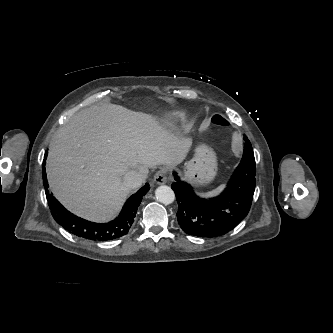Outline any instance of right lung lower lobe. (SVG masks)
I'll use <instances>...</instances> for the list:
<instances>
[{"label":"right lung lower lobe","mask_w":333,"mask_h":333,"mask_svg":"<svg viewBox=\"0 0 333 333\" xmlns=\"http://www.w3.org/2000/svg\"><path fill=\"white\" fill-rule=\"evenodd\" d=\"M47 152L44 158L46 159ZM43 184L46 189V197L52 216L68 232L82 238L95 241H108L126 235L136 215L142 197L149 191L146 183L138 192L133 194L125 203L119 216L108 223H94L84 220L67 211L56 198L47 190L48 182L45 173V161H43Z\"/></svg>","instance_id":"right-lung-lower-lobe-1"}]
</instances>
